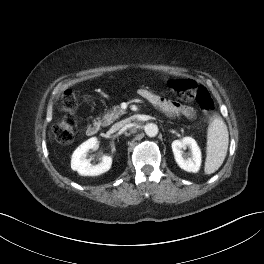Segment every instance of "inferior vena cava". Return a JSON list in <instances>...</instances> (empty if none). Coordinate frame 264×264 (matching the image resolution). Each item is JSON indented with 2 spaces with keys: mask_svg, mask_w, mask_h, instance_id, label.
<instances>
[{
  "mask_svg": "<svg viewBox=\"0 0 264 264\" xmlns=\"http://www.w3.org/2000/svg\"><path fill=\"white\" fill-rule=\"evenodd\" d=\"M126 123H127V122H119V123H116V124H114V125L112 126L111 130H112L113 132L118 131L119 129L123 128L124 125H125Z\"/></svg>",
  "mask_w": 264,
  "mask_h": 264,
  "instance_id": "obj_1",
  "label": "inferior vena cava"
}]
</instances>
